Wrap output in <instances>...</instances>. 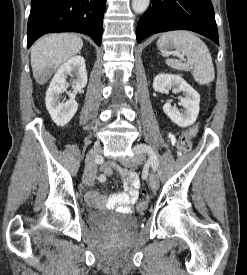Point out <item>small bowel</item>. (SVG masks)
<instances>
[{
	"label": "small bowel",
	"mask_w": 247,
	"mask_h": 275,
	"mask_svg": "<svg viewBox=\"0 0 247 275\" xmlns=\"http://www.w3.org/2000/svg\"><path fill=\"white\" fill-rule=\"evenodd\" d=\"M170 139L174 144L176 139L173 135H170ZM102 171L110 175L113 171H117L124 179V188L121 192L115 193L110 197H103L95 191H88L85 194L86 200L90 205L100 206L105 204L108 207H118L121 211H130L135 205L138 195L140 182L137 175L126 169L116 167L110 163H106L102 166Z\"/></svg>",
	"instance_id": "obj_1"
}]
</instances>
